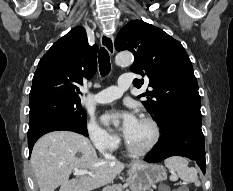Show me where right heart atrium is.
<instances>
[{
    "instance_id": "1",
    "label": "right heart atrium",
    "mask_w": 233,
    "mask_h": 191,
    "mask_svg": "<svg viewBox=\"0 0 233 191\" xmlns=\"http://www.w3.org/2000/svg\"><path fill=\"white\" fill-rule=\"evenodd\" d=\"M88 132L94 146L101 152L112 151L119 144V139L115 135L100 127L94 121L89 123Z\"/></svg>"
}]
</instances>
